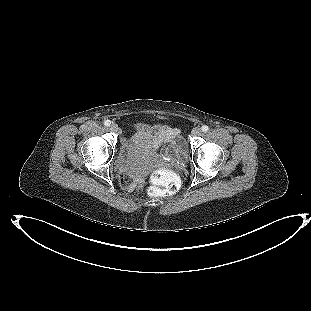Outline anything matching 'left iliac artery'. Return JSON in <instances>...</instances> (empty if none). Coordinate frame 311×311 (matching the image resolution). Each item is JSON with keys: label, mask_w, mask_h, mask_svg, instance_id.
I'll list each match as a JSON object with an SVG mask.
<instances>
[{"label": "left iliac artery", "mask_w": 311, "mask_h": 311, "mask_svg": "<svg viewBox=\"0 0 311 311\" xmlns=\"http://www.w3.org/2000/svg\"><path fill=\"white\" fill-rule=\"evenodd\" d=\"M201 130H202L203 132H207V131L209 130V127H208L207 125H203V126L201 127Z\"/></svg>", "instance_id": "44dca946"}]
</instances>
